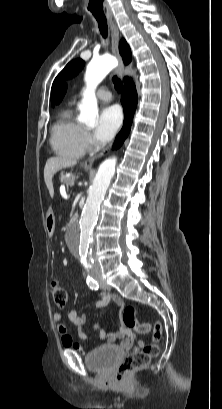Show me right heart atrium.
I'll return each instance as SVG.
<instances>
[{
	"label": "right heart atrium",
	"instance_id": "1",
	"mask_svg": "<svg viewBox=\"0 0 222 409\" xmlns=\"http://www.w3.org/2000/svg\"><path fill=\"white\" fill-rule=\"evenodd\" d=\"M83 141H84L86 148H92L94 145L92 137L87 131H84Z\"/></svg>",
	"mask_w": 222,
	"mask_h": 409
}]
</instances>
